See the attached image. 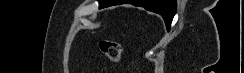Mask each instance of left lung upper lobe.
<instances>
[{
    "label": "left lung upper lobe",
    "instance_id": "left-lung-upper-lobe-1",
    "mask_svg": "<svg viewBox=\"0 0 244 73\" xmlns=\"http://www.w3.org/2000/svg\"><path fill=\"white\" fill-rule=\"evenodd\" d=\"M105 1H106V0H99V8H104V7H106V6L104 5Z\"/></svg>",
    "mask_w": 244,
    "mask_h": 73
}]
</instances>
